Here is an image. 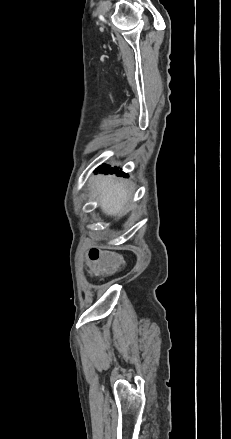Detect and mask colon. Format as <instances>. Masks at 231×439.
Listing matches in <instances>:
<instances>
[{
  "instance_id": "colon-1",
  "label": "colon",
  "mask_w": 231,
  "mask_h": 439,
  "mask_svg": "<svg viewBox=\"0 0 231 439\" xmlns=\"http://www.w3.org/2000/svg\"><path fill=\"white\" fill-rule=\"evenodd\" d=\"M121 260L109 253L97 250L96 246L90 247L88 259H85L83 265L85 268H91L97 273H110L120 268Z\"/></svg>"
}]
</instances>
